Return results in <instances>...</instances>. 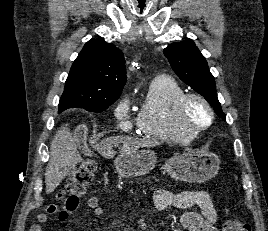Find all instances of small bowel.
Wrapping results in <instances>:
<instances>
[{"mask_svg": "<svg viewBox=\"0 0 268 231\" xmlns=\"http://www.w3.org/2000/svg\"><path fill=\"white\" fill-rule=\"evenodd\" d=\"M154 207L158 211L167 208L187 209L198 207L199 212H186L180 217V225L187 231H218L215 227L217 212L210 194L206 191H188L174 193L165 190H158L154 194ZM54 206L48 207V212H53ZM84 213L86 216L99 217L104 213V207L100 205L97 196H91L86 204ZM43 216V220H41ZM47 213H40L37 216L38 223L31 225L30 231H43L42 224L47 221Z\"/></svg>", "mask_w": 268, "mask_h": 231, "instance_id": "obj_1", "label": "small bowel"}]
</instances>
